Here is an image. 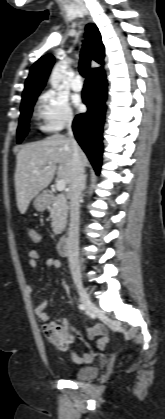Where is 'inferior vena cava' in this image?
Masks as SVG:
<instances>
[{"label": "inferior vena cava", "mask_w": 165, "mask_h": 419, "mask_svg": "<svg viewBox=\"0 0 165 419\" xmlns=\"http://www.w3.org/2000/svg\"><path fill=\"white\" fill-rule=\"evenodd\" d=\"M72 117L67 121L68 135L72 142V170L69 185V198H70V224L68 230V260L73 276H80L79 266V200L83 190L84 180V164L81 159L80 148L74 140L72 132Z\"/></svg>", "instance_id": "1"}]
</instances>
